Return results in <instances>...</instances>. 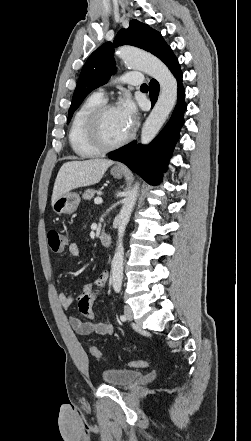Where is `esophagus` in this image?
I'll list each match as a JSON object with an SVG mask.
<instances>
[{
	"instance_id": "34e87169",
	"label": "esophagus",
	"mask_w": 251,
	"mask_h": 441,
	"mask_svg": "<svg viewBox=\"0 0 251 441\" xmlns=\"http://www.w3.org/2000/svg\"><path fill=\"white\" fill-rule=\"evenodd\" d=\"M118 168H123V166L122 165H118Z\"/></svg>"
}]
</instances>
